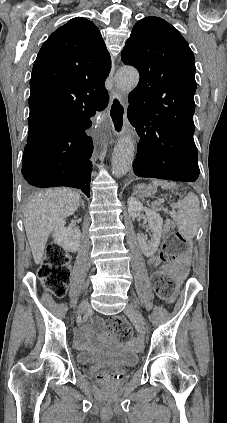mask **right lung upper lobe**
<instances>
[{"label":"right lung upper lobe","mask_w":227,"mask_h":423,"mask_svg":"<svg viewBox=\"0 0 227 423\" xmlns=\"http://www.w3.org/2000/svg\"><path fill=\"white\" fill-rule=\"evenodd\" d=\"M110 69V55L99 29L87 19L73 18L41 47L32 70L29 106L107 104L104 82ZM69 124L61 118L30 120L27 144L39 143Z\"/></svg>","instance_id":"obj_1"}]
</instances>
